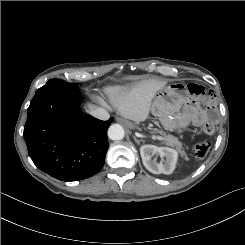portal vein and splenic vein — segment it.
I'll use <instances>...</instances> for the list:
<instances>
[{
    "label": "portal vein and splenic vein",
    "mask_w": 245,
    "mask_h": 245,
    "mask_svg": "<svg viewBox=\"0 0 245 245\" xmlns=\"http://www.w3.org/2000/svg\"><path fill=\"white\" fill-rule=\"evenodd\" d=\"M153 138H154V139H158V140H163V138H162L161 136L153 135Z\"/></svg>",
    "instance_id": "1"
}]
</instances>
